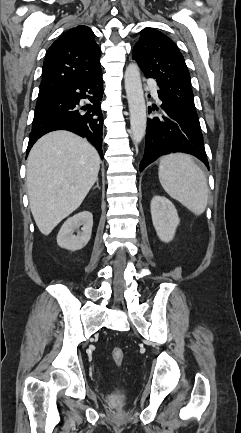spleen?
<instances>
[{
    "mask_svg": "<svg viewBox=\"0 0 241 433\" xmlns=\"http://www.w3.org/2000/svg\"><path fill=\"white\" fill-rule=\"evenodd\" d=\"M159 181L167 194L179 201L196 216L203 214L208 202V185L204 172L183 153L161 158Z\"/></svg>",
    "mask_w": 241,
    "mask_h": 433,
    "instance_id": "1",
    "label": "spleen"
}]
</instances>
